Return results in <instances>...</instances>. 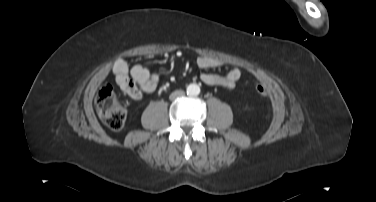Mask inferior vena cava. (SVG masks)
Returning <instances> with one entry per match:
<instances>
[{"mask_svg": "<svg viewBox=\"0 0 376 202\" xmlns=\"http://www.w3.org/2000/svg\"><path fill=\"white\" fill-rule=\"evenodd\" d=\"M185 95V92L182 90L174 91L170 94L169 98L170 100H175L176 98L182 97Z\"/></svg>", "mask_w": 376, "mask_h": 202, "instance_id": "1", "label": "inferior vena cava"}]
</instances>
